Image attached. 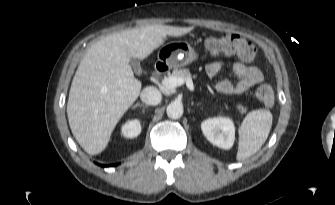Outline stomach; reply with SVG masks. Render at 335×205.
Wrapping results in <instances>:
<instances>
[{
	"mask_svg": "<svg viewBox=\"0 0 335 205\" xmlns=\"http://www.w3.org/2000/svg\"><path fill=\"white\" fill-rule=\"evenodd\" d=\"M198 54L187 43L174 41L163 45L158 52L160 62L171 67H183L195 61Z\"/></svg>",
	"mask_w": 335,
	"mask_h": 205,
	"instance_id": "obj_1",
	"label": "stomach"
}]
</instances>
